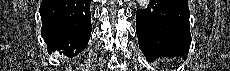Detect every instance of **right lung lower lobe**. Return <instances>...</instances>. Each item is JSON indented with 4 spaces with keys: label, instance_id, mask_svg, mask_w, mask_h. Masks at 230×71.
Masks as SVG:
<instances>
[{
    "label": "right lung lower lobe",
    "instance_id": "obj_1",
    "mask_svg": "<svg viewBox=\"0 0 230 71\" xmlns=\"http://www.w3.org/2000/svg\"><path fill=\"white\" fill-rule=\"evenodd\" d=\"M91 0H42L41 35L48 52L68 57L82 52L91 36Z\"/></svg>",
    "mask_w": 230,
    "mask_h": 71
}]
</instances>
